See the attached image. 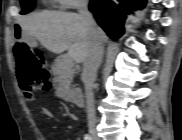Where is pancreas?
<instances>
[{"label": "pancreas", "mask_w": 182, "mask_h": 140, "mask_svg": "<svg viewBox=\"0 0 182 140\" xmlns=\"http://www.w3.org/2000/svg\"><path fill=\"white\" fill-rule=\"evenodd\" d=\"M54 83L58 91H67L75 74L73 62H66L64 58L57 59L52 64Z\"/></svg>", "instance_id": "cf45deb5"}]
</instances>
